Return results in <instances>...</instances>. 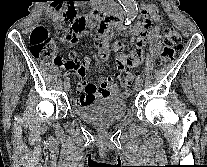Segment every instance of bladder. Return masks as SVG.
I'll return each instance as SVG.
<instances>
[{
  "mask_svg": "<svg viewBox=\"0 0 207 167\" xmlns=\"http://www.w3.org/2000/svg\"><path fill=\"white\" fill-rule=\"evenodd\" d=\"M126 111V102L121 96L101 97L75 107L81 120L97 125L117 122L124 117Z\"/></svg>",
  "mask_w": 207,
  "mask_h": 167,
  "instance_id": "1",
  "label": "bladder"
}]
</instances>
